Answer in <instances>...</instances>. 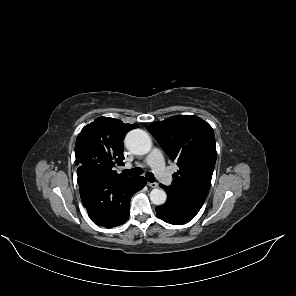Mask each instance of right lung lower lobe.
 Segmentation results:
<instances>
[{
    "instance_id": "obj_1",
    "label": "right lung lower lobe",
    "mask_w": 296,
    "mask_h": 296,
    "mask_svg": "<svg viewBox=\"0 0 296 296\" xmlns=\"http://www.w3.org/2000/svg\"><path fill=\"white\" fill-rule=\"evenodd\" d=\"M79 192L91 220L106 228L123 224L129 217L132 195L142 189L144 177L107 181L85 169H77Z\"/></svg>"
}]
</instances>
